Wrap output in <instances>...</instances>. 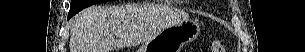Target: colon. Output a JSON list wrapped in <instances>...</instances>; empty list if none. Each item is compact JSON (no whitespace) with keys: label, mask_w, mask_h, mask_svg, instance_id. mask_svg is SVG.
<instances>
[{"label":"colon","mask_w":305,"mask_h":52,"mask_svg":"<svg viewBox=\"0 0 305 52\" xmlns=\"http://www.w3.org/2000/svg\"><path fill=\"white\" fill-rule=\"evenodd\" d=\"M212 52H224L223 44L220 41H214L211 45Z\"/></svg>","instance_id":"obj_1"}]
</instances>
